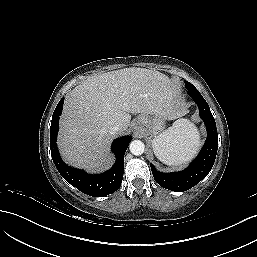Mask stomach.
I'll return each instance as SVG.
<instances>
[{
    "label": "stomach",
    "mask_w": 257,
    "mask_h": 257,
    "mask_svg": "<svg viewBox=\"0 0 257 257\" xmlns=\"http://www.w3.org/2000/svg\"><path fill=\"white\" fill-rule=\"evenodd\" d=\"M165 120L166 116L162 111H154L141 113L136 122L144 134L153 137L163 130Z\"/></svg>",
    "instance_id": "1"
}]
</instances>
